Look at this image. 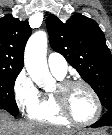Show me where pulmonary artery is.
I'll list each match as a JSON object with an SVG mask.
<instances>
[{
  "mask_svg": "<svg viewBox=\"0 0 112 135\" xmlns=\"http://www.w3.org/2000/svg\"><path fill=\"white\" fill-rule=\"evenodd\" d=\"M48 67L52 74L58 77H65L68 65L63 56L58 53H50L48 56Z\"/></svg>",
  "mask_w": 112,
  "mask_h": 135,
  "instance_id": "pulmonary-artery-1",
  "label": "pulmonary artery"
}]
</instances>
